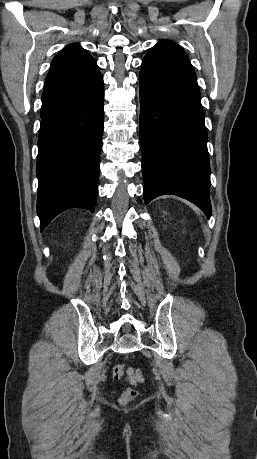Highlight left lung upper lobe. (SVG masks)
<instances>
[{
	"mask_svg": "<svg viewBox=\"0 0 257 459\" xmlns=\"http://www.w3.org/2000/svg\"><path fill=\"white\" fill-rule=\"evenodd\" d=\"M151 51H169L186 54L177 44L168 40H161L158 44L151 48L149 52Z\"/></svg>",
	"mask_w": 257,
	"mask_h": 459,
	"instance_id": "left-lung-upper-lobe-1",
	"label": "left lung upper lobe"
}]
</instances>
